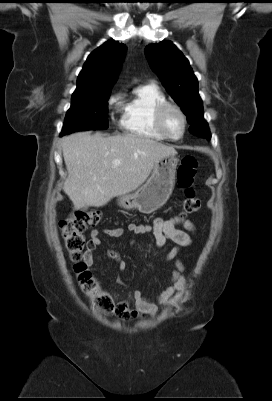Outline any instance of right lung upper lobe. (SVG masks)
<instances>
[{"label":"right lung upper lobe","instance_id":"cb5924a9","mask_svg":"<svg viewBox=\"0 0 272 401\" xmlns=\"http://www.w3.org/2000/svg\"><path fill=\"white\" fill-rule=\"evenodd\" d=\"M126 46L109 40L87 58L77 79L72 97L100 90L112 89L117 80Z\"/></svg>","mask_w":272,"mask_h":401}]
</instances>
